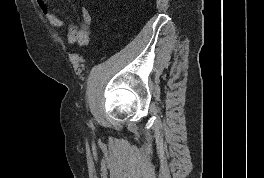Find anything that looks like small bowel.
<instances>
[{"mask_svg":"<svg viewBox=\"0 0 264 178\" xmlns=\"http://www.w3.org/2000/svg\"><path fill=\"white\" fill-rule=\"evenodd\" d=\"M36 2L42 13L53 27H64V21L55 14L52 3H50L48 0H36ZM75 30H77V28L74 25H70L68 28L69 32Z\"/></svg>","mask_w":264,"mask_h":178,"instance_id":"obj_1","label":"small bowel"}]
</instances>
